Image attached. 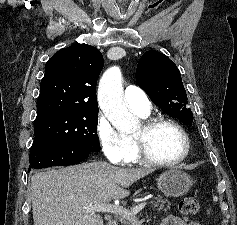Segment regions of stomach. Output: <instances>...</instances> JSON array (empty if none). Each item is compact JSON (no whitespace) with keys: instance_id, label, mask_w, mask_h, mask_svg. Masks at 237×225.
Returning a JSON list of instances; mask_svg holds the SVG:
<instances>
[{"instance_id":"stomach-1","label":"stomach","mask_w":237,"mask_h":225,"mask_svg":"<svg viewBox=\"0 0 237 225\" xmlns=\"http://www.w3.org/2000/svg\"><path fill=\"white\" fill-rule=\"evenodd\" d=\"M192 186L191 177L184 171L171 168L157 178V187L167 197H180Z\"/></svg>"}]
</instances>
